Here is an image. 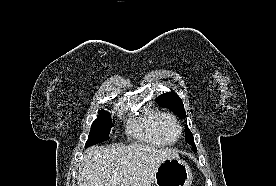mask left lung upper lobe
<instances>
[{
    "label": "left lung upper lobe",
    "mask_w": 276,
    "mask_h": 186,
    "mask_svg": "<svg viewBox=\"0 0 276 186\" xmlns=\"http://www.w3.org/2000/svg\"><path fill=\"white\" fill-rule=\"evenodd\" d=\"M156 101L160 106L166 107L173 111L179 118L183 119L186 117V112L183 106V102L180 97L174 93L169 92L159 96ZM186 130V143L192 145V149L196 148L194 143V138L192 132L189 130L188 126L185 128Z\"/></svg>",
    "instance_id": "obj_1"
}]
</instances>
